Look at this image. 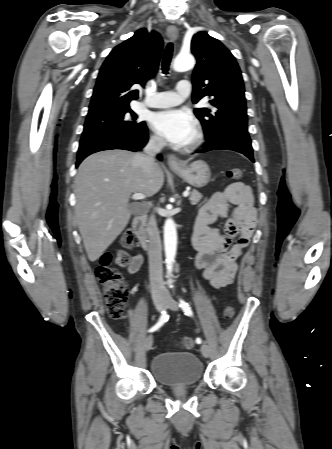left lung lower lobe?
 <instances>
[{
    "mask_svg": "<svg viewBox=\"0 0 332 449\" xmlns=\"http://www.w3.org/2000/svg\"><path fill=\"white\" fill-rule=\"evenodd\" d=\"M217 149L233 150L242 153L254 162L251 139L246 129L233 128L225 130L207 139L206 145L199 152L203 153Z\"/></svg>",
    "mask_w": 332,
    "mask_h": 449,
    "instance_id": "1",
    "label": "left lung lower lobe"
}]
</instances>
